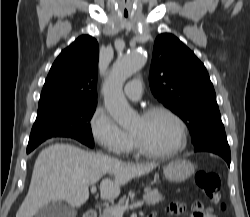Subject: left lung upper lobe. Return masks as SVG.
Instances as JSON below:
<instances>
[{
	"instance_id": "obj_1",
	"label": "left lung upper lobe",
	"mask_w": 250,
	"mask_h": 217,
	"mask_svg": "<svg viewBox=\"0 0 250 217\" xmlns=\"http://www.w3.org/2000/svg\"><path fill=\"white\" fill-rule=\"evenodd\" d=\"M150 88L164 106L187 124L194 145L224 129L205 66L172 34H160L155 40Z\"/></svg>"
}]
</instances>
